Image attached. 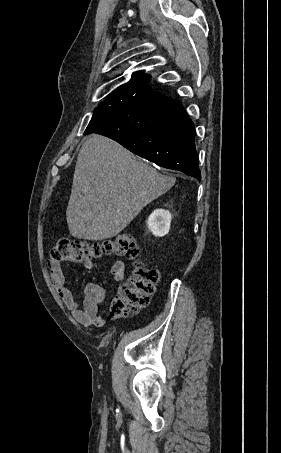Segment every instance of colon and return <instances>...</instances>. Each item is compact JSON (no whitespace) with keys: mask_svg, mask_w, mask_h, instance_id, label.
I'll use <instances>...</instances> for the list:
<instances>
[{"mask_svg":"<svg viewBox=\"0 0 281 453\" xmlns=\"http://www.w3.org/2000/svg\"><path fill=\"white\" fill-rule=\"evenodd\" d=\"M53 262H94L101 257H121L136 259L132 275L127 278L112 306L115 313L128 308L143 307L159 280L157 270L143 265L140 250L133 238H112L98 242L81 238L60 237L51 255Z\"/></svg>","mask_w":281,"mask_h":453,"instance_id":"1","label":"colon"}]
</instances>
